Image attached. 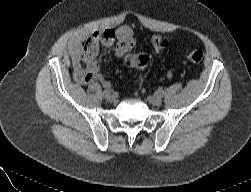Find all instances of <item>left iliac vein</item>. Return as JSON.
I'll return each mask as SVG.
<instances>
[{
  "instance_id": "left-iliac-vein-1",
  "label": "left iliac vein",
  "mask_w": 251,
  "mask_h": 192,
  "mask_svg": "<svg viewBox=\"0 0 251 192\" xmlns=\"http://www.w3.org/2000/svg\"><path fill=\"white\" fill-rule=\"evenodd\" d=\"M148 102L153 106H159L162 103V99L157 95H153L148 97Z\"/></svg>"
}]
</instances>
